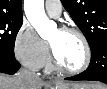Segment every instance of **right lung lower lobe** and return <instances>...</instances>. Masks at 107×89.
<instances>
[{
  "mask_svg": "<svg viewBox=\"0 0 107 89\" xmlns=\"http://www.w3.org/2000/svg\"><path fill=\"white\" fill-rule=\"evenodd\" d=\"M20 68V64L14 59L10 60L0 56V72L6 74H15Z\"/></svg>",
  "mask_w": 107,
  "mask_h": 89,
  "instance_id": "98d812e1",
  "label": "right lung lower lobe"
}]
</instances>
